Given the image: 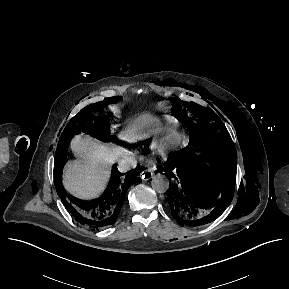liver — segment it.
Segmentation results:
<instances>
[{
	"label": "liver",
	"instance_id": "6515ba94",
	"mask_svg": "<svg viewBox=\"0 0 289 289\" xmlns=\"http://www.w3.org/2000/svg\"><path fill=\"white\" fill-rule=\"evenodd\" d=\"M151 117L144 116L142 120ZM130 128L121 132L124 138L129 137ZM74 151L83 159L82 163H69L65 167L64 187L69 194L80 199L97 197L105 187L109 176L108 165L116 153L110 148L90 137L78 136L73 140Z\"/></svg>",
	"mask_w": 289,
	"mask_h": 289
}]
</instances>
